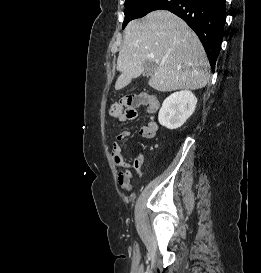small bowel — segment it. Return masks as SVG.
<instances>
[{
    "mask_svg": "<svg viewBox=\"0 0 261 273\" xmlns=\"http://www.w3.org/2000/svg\"><path fill=\"white\" fill-rule=\"evenodd\" d=\"M140 97H141V101L139 104L147 106V110L149 114L152 115L158 110L159 101L157 98L148 94L140 95ZM117 119L122 123L129 120L125 116H121ZM158 129H159L158 123L152 120L147 125L141 128L140 136L144 139H152L156 136ZM129 136H130V131L128 130L121 131L117 135L116 141L113 144V149H112V156L115 163L118 166L123 168V171H121L117 177L118 184L120 185L122 189H126V190H129L131 188V179L133 177V174L130 171V169L140 170L144 161V156L141 152H138L135 155V157L131 160L125 158V156L123 155L120 142L127 139ZM117 156H120L121 161L117 159Z\"/></svg>",
    "mask_w": 261,
    "mask_h": 273,
    "instance_id": "small-bowel-1",
    "label": "small bowel"
}]
</instances>
